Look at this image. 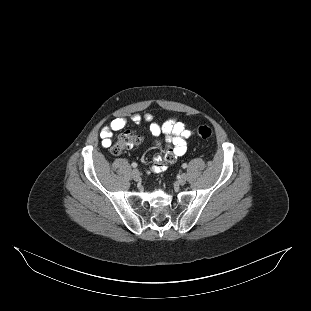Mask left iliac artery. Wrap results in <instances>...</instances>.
<instances>
[{
    "mask_svg": "<svg viewBox=\"0 0 311 311\" xmlns=\"http://www.w3.org/2000/svg\"><path fill=\"white\" fill-rule=\"evenodd\" d=\"M182 167L185 169V168H187V164L186 163H183L182 164Z\"/></svg>",
    "mask_w": 311,
    "mask_h": 311,
    "instance_id": "left-iliac-artery-1",
    "label": "left iliac artery"
}]
</instances>
